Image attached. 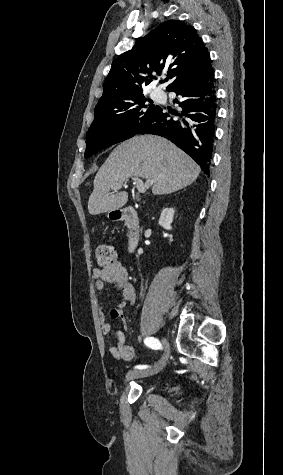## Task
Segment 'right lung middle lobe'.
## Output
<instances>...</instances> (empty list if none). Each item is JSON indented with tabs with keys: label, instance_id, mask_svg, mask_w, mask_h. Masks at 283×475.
Instances as JSON below:
<instances>
[{
	"label": "right lung middle lobe",
	"instance_id": "right-lung-middle-lobe-1",
	"mask_svg": "<svg viewBox=\"0 0 283 475\" xmlns=\"http://www.w3.org/2000/svg\"><path fill=\"white\" fill-rule=\"evenodd\" d=\"M146 100L150 102L138 95L122 103L95 108V119L86 134L84 157L136 135L160 110L159 106L145 105Z\"/></svg>",
	"mask_w": 283,
	"mask_h": 475
}]
</instances>
